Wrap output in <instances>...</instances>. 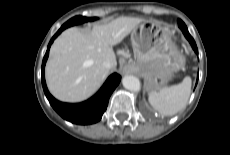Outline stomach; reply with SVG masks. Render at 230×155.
I'll return each instance as SVG.
<instances>
[{
  "label": "stomach",
  "instance_id": "obj_1",
  "mask_svg": "<svg viewBox=\"0 0 230 155\" xmlns=\"http://www.w3.org/2000/svg\"><path fill=\"white\" fill-rule=\"evenodd\" d=\"M134 54L149 92L159 90L184 66L185 57L172 41L170 28L156 20H144L131 33Z\"/></svg>",
  "mask_w": 230,
  "mask_h": 155
}]
</instances>
